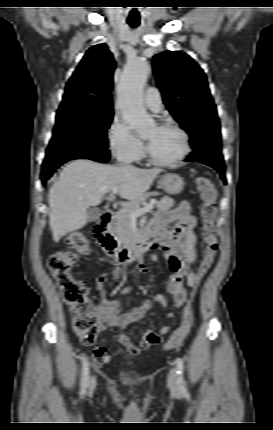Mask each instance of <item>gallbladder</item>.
Masks as SVG:
<instances>
[{"label": "gallbladder", "instance_id": "gallbladder-1", "mask_svg": "<svg viewBox=\"0 0 273 430\" xmlns=\"http://www.w3.org/2000/svg\"><path fill=\"white\" fill-rule=\"evenodd\" d=\"M87 215L90 221H95L102 215V211L98 208H90L87 210Z\"/></svg>", "mask_w": 273, "mask_h": 430}]
</instances>
